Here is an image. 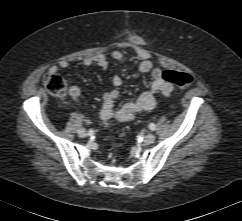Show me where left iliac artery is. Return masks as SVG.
I'll return each instance as SVG.
<instances>
[{
    "mask_svg": "<svg viewBox=\"0 0 242 221\" xmlns=\"http://www.w3.org/2000/svg\"><path fill=\"white\" fill-rule=\"evenodd\" d=\"M149 128H150L152 131H154V130H156V125H155L154 123H150V124H149Z\"/></svg>",
    "mask_w": 242,
    "mask_h": 221,
    "instance_id": "obj_1",
    "label": "left iliac artery"
}]
</instances>
